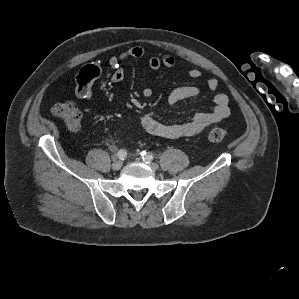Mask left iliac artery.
Here are the masks:
<instances>
[{"instance_id":"44dca946","label":"left iliac artery","mask_w":299,"mask_h":299,"mask_svg":"<svg viewBox=\"0 0 299 299\" xmlns=\"http://www.w3.org/2000/svg\"><path fill=\"white\" fill-rule=\"evenodd\" d=\"M152 159H153V156H152L151 154H146V153H144L143 160H144L146 163H149Z\"/></svg>"}]
</instances>
